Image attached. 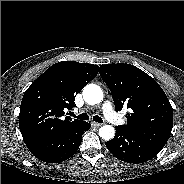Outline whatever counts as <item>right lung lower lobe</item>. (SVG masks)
I'll return each instance as SVG.
<instances>
[{"label": "right lung lower lobe", "instance_id": "right-lung-lower-lobe-1", "mask_svg": "<svg viewBox=\"0 0 184 184\" xmlns=\"http://www.w3.org/2000/svg\"><path fill=\"white\" fill-rule=\"evenodd\" d=\"M90 127L91 124L84 121L66 132L47 136L27 143L26 146L39 160L46 163H59L76 153L82 142V135Z\"/></svg>", "mask_w": 184, "mask_h": 184}]
</instances>
